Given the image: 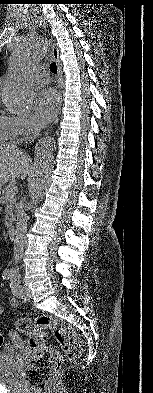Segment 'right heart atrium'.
I'll use <instances>...</instances> for the list:
<instances>
[{"instance_id": "right-heart-atrium-1", "label": "right heart atrium", "mask_w": 153, "mask_h": 393, "mask_svg": "<svg viewBox=\"0 0 153 393\" xmlns=\"http://www.w3.org/2000/svg\"><path fill=\"white\" fill-rule=\"evenodd\" d=\"M16 130L15 136L28 137L37 131V125L29 117L18 116L15 117Z\"/></svg>"}]
</instances>
